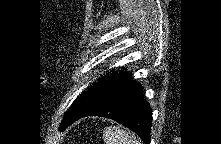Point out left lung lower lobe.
Returning a JSON list of instances; mask_svg holds the SVG:
<instances>
[{
    "mask_svg": "<svg viewBox=\"0 0 221 144\" xmlns=\"http://www.w3.org/2000/svg\"><path fill=\"white\" fill-rule=\"evenodd\" d=\"M90 115L113 119L137 133L145 144H150L152 110L143 99L142 86L133 81L128 72L115 81L98 103L70 124Z\"/></svg>",
    "mask_w": 221,
    "mask_h": 144,
    "instance_id": "obj_1",
    "label": "left lung lower lobe"
}]
</instances>
